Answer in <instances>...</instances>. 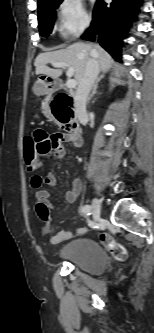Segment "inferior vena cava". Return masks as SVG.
<instances>
[{
    "mask_svg": "<svg viewBox=\"0 0 154 333\" xmlns=\"http://www.w3.org/2000/svg\"><path fill=\"white\" fill-rule=\"evenodd\" d=\"M98 73L99 63L92 53V57L89 58L86 63L84 76L78 84L74 97L75 113L81 123H85L88 120L86 102L97 79Z\"/></svg>",
    "mask_w": 154,
    "mask_h": 333,
    "instance_id": "602c4592",
    "label": "inferior vena cava"
}]
</instances>
